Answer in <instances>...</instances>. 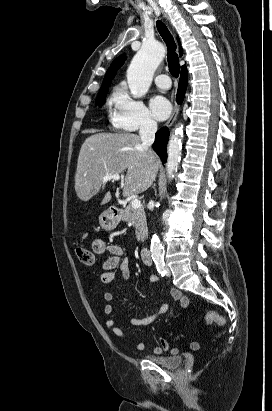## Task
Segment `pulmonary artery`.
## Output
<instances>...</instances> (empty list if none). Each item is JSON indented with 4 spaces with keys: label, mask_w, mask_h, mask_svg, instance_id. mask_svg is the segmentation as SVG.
I'll return each instance as SVG.
<instances>
[{
    "label": "pulmonary artery",
    "mask_w": 272,
    "mask_h": 411,
    "mask_svg": "<svg viewBox=\"0 0 272 411\" xmlns=\"http://www.w3.org/2000/svg\"><path fill=\"white\" fill-rule=\"evenodd\" d=\"M155 84L157 87L160 89L166 90L170 88L171 83L168 75L166 74H160L155 78Z\"/></svg>",
    "instance_id": "e3ab8cb5"
}]
</instances>
